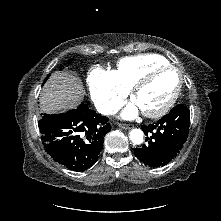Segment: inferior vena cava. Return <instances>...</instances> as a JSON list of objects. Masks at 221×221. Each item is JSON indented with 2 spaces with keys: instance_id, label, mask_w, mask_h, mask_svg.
Segmentation results:
<instances>
[{
  "instance_id": "inferior-vena-cava-1",
  "label": "inferior vena cava",
  "mask_w": 221,
  "mask_h": 221,
  "mask_svg": "<svg viewBox=\"0 0 221 221\" xmlns=\"http://www.w3.org/2000/svg\"><path fill=\"white\" fill-rule=\"evenodd\" d=\"M98 112L104 115H108V114H112V113H116L117 110L114 109L113 107L109 106V105H100L97 108Z\"/></svg>"
}]
</instances>
